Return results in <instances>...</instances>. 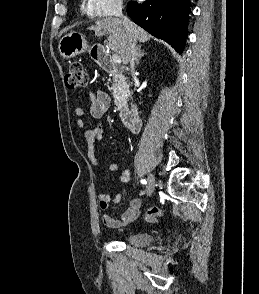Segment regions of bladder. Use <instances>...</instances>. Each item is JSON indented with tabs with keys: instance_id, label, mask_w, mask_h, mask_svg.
<instances>
[{
	"instance_id": "31cf9c89",
	"label": "bladder",
	"mask_w": 259,
	"mask_h": 294,
	"mask_svg": "<svg viewBox=\"0 0 259 294\" xmlns=\"http://www.w3.org/2000/svg\"><path fill=\"white\" fill-rule=\"evenodd\" d=\"M155 237L153 234L144 233V232H137L129 234L125 238V243L132 245V246H148L154 241Z\"/></svg>"
}]
</instances>
